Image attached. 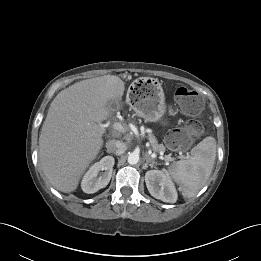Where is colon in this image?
<instances>
[{
  "label": "colon",
  "mask_w": 261,
  "mask_h": 261,
  "mask_svg": "<svg viewBox=\"0 0 261 261\" xmlns=\"http://www.w3.org/2000/svg\"><path fill=\"white\" fill-rule=\"evenodd\" d=\"M176 102L182 112L191 116L185 126L172 130L167 135V143L172 149L186 148L192 140L202 135L204 121L199 119L203 100L199 94L189 88L180 87L175 92Z\"/></svg>",
  "instance_id": "obj_1"
}]
</instances>
